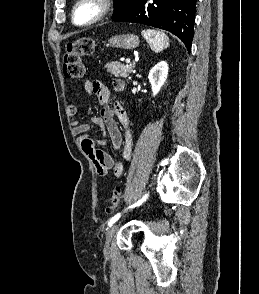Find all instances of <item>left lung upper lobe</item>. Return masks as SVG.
Returning a JSON list of instances; mask_svg holds the SVG:
<instances>
[{
  "label": "left lung upper lobe",
  "mask_w": 259,
  "mask_h": 294,
  "mask_svg": "<svg viewBox=\"0 0 259 294\" xmlns=\"http://www.w3.org/2000/svg\"><path fill=\"white\" fill-rule=\"evenodd\" d=\"M136 0H115V12L113 17L125 12L134 6Z\"/></svg>",
  "instance_id": "obj_1"
}]
</instances>
